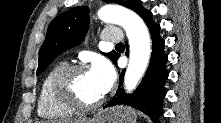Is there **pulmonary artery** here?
<instances>
[{
    "label": "pulmonary artery",
    "instance_id": "1",
    "mask_svg": "<svg viewBox=\"0 0 221 123\" xmlns=\"http://www.w3.org/2000/svg\"><path fill=\"white\" fill-rule=\"evenodd\" d=\"M102 39L108 43H119L122 41V33L118 28H107L102 32Z\"/></svg>",
    "mask_w": 221,
    "mask_h": 123
}]
</instances>
